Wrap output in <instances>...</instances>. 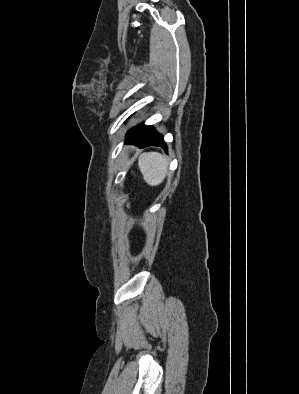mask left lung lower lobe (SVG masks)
I'll use <instances>...</instances> for the list:
<instances>
[{
	"label": "left lung lower lobe",
	"mask_w": 299,
	"mask_h": 394,
	"mask_svg": "<svg viewBox=\"0 0 299 394\" xmlns=\"http://www.w3.org/2000/svg\"><path fill=\"white\" fill-rule=\"evenodd\" d=\"M126 143L135 144L140 148L159 146L167 150L163 137L152 126L139 124L126 134Z\"/></svg>",
	"instance_id": "obj_1"
}]
</instances>
